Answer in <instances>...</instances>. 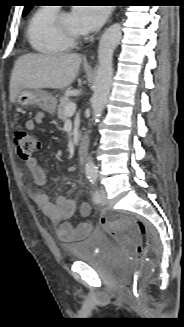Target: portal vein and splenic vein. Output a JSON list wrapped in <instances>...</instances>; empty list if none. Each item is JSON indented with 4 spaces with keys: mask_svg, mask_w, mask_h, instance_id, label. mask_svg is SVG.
I'll return each instance as SVG.
<instances>
[{
    "mask_svg": "<svg viewBox=\"0 0 184 327\" xmlns=\"http://www.w3.org/2000/svg\"><path fill=\"white\" fill-rule=\"evenodd\" d=\"M76 111V104L75 103H69L65 107V114L67 116H72Z\"/></svg>",
    "mask_w": 184,
    "mask_h": 327,
    "instance_id": "18ae733b",
    "label": "portal vein and splenic vein"
}]
</instances>
